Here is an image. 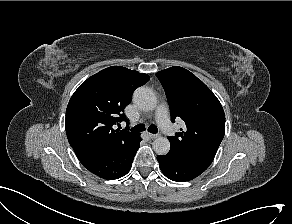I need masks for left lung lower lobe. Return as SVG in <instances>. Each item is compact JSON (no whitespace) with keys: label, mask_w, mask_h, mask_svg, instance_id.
I'll use <instances>...</instances> for the list:
<instances>
[{"label":"left lung lower lobe","mask_w":292,"mask_h":224,"mask_svg":"<svg viewBox=\"0 0 292 224\" xmlns=\"http://www.w3.org/2000/svg\"><path fill=\"white\" fill-rule=\"evenodd\" d=\"M157 160L161 171L172 181H189L204 172L174 153H168L165 156L158 155Z\"/></svg>","instance_id":"0a47b994"}]
</instances>
